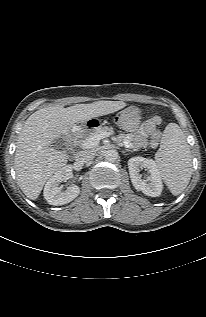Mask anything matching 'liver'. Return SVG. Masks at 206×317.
Wrapping results in <instances>:
<instances>
[{
	"instance_id": "1",
	"label": "liver",
	"mask_w": 206,
	"mask_h": 317,
	"mask_svg": "<svg viewBox=\"0 0 206 317\" xmlns=\"http://www.w3.org/2000/svg\"><path fill=\"white\" fill-rule=\"evenodd\" d=\"M123 101H97L89 104L47 106L34 112L18 136L14 167L17 183L31 200L40 195L46 181L67 163V156L51 147L54 139L67 136L76 124L114 113Z\"/></svg>"
}]
</instances>
